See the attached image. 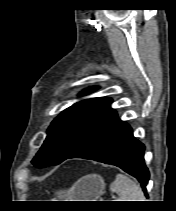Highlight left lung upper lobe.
Returning <instances> with one entry per match:
<instances>
[{"mask_svg":"<svg viewBox=\"0 0 176 211\" xmlns=\"http://www.w3.org/2000/svg\"><path fill=\"white\" fill-rule=\"evenodd\" d=\"M91 87L83 93L96 90ZM110 98L80 101L56 117L47 131V138L32 163L39 168L57 165L72 156L117 113L110 107Z\"/></svg>","mask_w":176,"mask_h":211,"instance_id":"5c2ea615","label":"left lung upper lobe"}]
</instances>
